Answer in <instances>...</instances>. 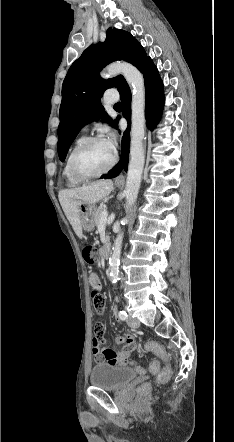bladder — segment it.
I'll return each instance as SVG.
<instances>
[{"label": "bladder", "instance_id": "31cf9c89", "mask_svg": "<svg viewBox=\"0 0 234 442\" xmlns=\"http://www.w3.org/2000/svg\"><path fill=\"white\" fill-rule=\"evenodd\" d=\"M136 375V371L127 366L98 364L91 371L90 383L94 387L117 390L129 384Z\"/></svg>", "mask_w": 234, "mask_h": 442}]
</instances>
